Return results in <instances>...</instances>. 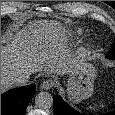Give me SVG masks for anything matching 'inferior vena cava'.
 Here are the masks:
<instances>
[{
	"label": "inferior vena cava",
	"mask_w": 115,
	"mask_h": 115,
	"mask_svg": "<svg viewBox=\"0 0 115 115\" xmlns=\"http://www.w3.org/2000/svg\"><path fill=\"white\" fill-rule=\"evenodd\" d=\"M30 73L22 72L19 73L13 80V83L17 86H25L28 83Z\"/></svg>",
	"instance_id": "602c4592"
}]
</instances>
